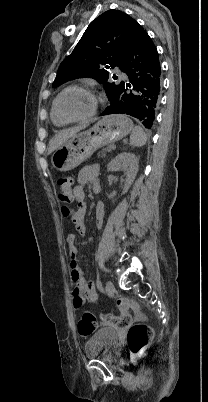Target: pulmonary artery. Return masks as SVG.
<instances>
[{"label":"pulmonary artery","mask_w":208,"mask_h":402,"mask_svg":"<svg viewBox=\"0 0 208 402\" xmlns=\"http://www.w3.org/2000/svg\"><path fill=\"white\" fill-rule=\"evenodd\" d=\"M115 70L118 72L119 71V69L118 68H115Z\"/></svg>","instance_id":"obj_1"}]
</instances>
